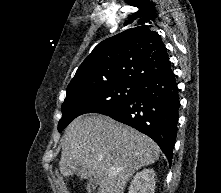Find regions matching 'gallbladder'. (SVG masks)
I'll return each instance as SVG.
<instances>
[{"label":"gallbladder","mask_w":221,"mask_h":193,"mask_svg":"<svg viewBox=\"0 0 221 193\" xmlns=\"http://www.w3.org/2000/svg\"><path fill=\"white\" fill-rule=\"evenodd\" d=\"M98 185V179L93 178L89 181L88 185H87V189L90 191V193H93L94 190L96 189Z\"/></svg>","instance_id":"obj_1"}]
</instances>
